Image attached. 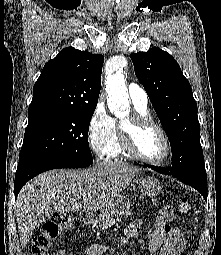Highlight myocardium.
<instances>
[{
    "instance_id": "f54148a6",
    "label": "myocardium",
    "mask_w": 221,
    "mask_h": 255,
    "mask_svg": "<svg viewBox=\"0 0 221 255\" xmlns=\"http://www.w3.org/2000/svg\"><path fill=\"white\" fill-rule=\"evenodd\" d=\"M153 127L162 136L165 144V153L160 159H149L145 157L138 149L137 134L140 130ZM119 136L124 149L136 159L151 165H161L165 163L171 154V144L169 137L164 128L154 121L151 117L146 115H139L136 112L127 117L119 124Z\"/></svg>"
}]
</instances>
